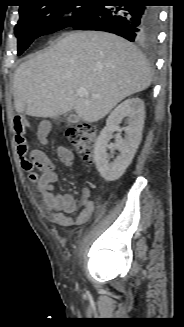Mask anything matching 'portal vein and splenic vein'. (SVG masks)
Segmentation results:
<instances>
[{"label": "portal vein and splenic vein", "mask_w": 184, "mask_h": 327, "mask_svg": "<svg viewBox=\"0 0 184 327\" xmlns=\"http://www.w3.org/2000/svg\"><path fill=\"white\" fill-rule=\"evenodd\" d=\"M76 93H77V95L79 97H83V96L88 95V91L85 88H79V89H77Z\"/></svg>", "instance_id": "portal-vein-and-splenic-vein-1"}]
</instances>
